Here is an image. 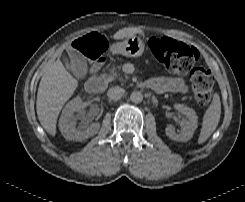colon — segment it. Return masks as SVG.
<instances>
[{
    "label": "colon",
    "instance_id": "colon-1",
    "mask_svg": "<svg viewBox=\"0 0 245 202\" xmlns=\"http://www.w3.org/2000/svg\"><path fill=\"white\" fill-rule=\"evenodd\" d=\"M108 38L95 31L72 42L68 49L76 55H85L91 68H99L105 63ZM149 49L155 59L166 69L175 73L191 71V81L196 102L206 106L211 100L214 81L210 72L193 69L199 58L198 50L190 45L166 38H153Z\"/></svg>",
    "mask_w": 245,
    "mask_h": 202
}]
</instances>
